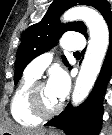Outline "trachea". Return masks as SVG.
<instances>
[{
	"mask_svg": "<svg viewBox=\"0 0 112 135\" xmlns=\"http://www.w3.org/2000/svg\"><path fill=\"white\" fill-rule=\"evenodd\" d=\"M80 54V52H74V55H79Z\"/></svg>",
	"mask_w": 112,
	"mask_h": 135,
	"instance_id": "obj_1",
	"label": "trachea"
}]
</instances>
